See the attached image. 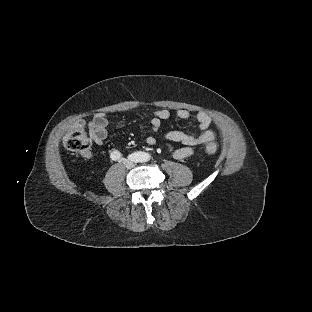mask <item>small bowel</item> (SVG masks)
Here are the masks:
<instances>
[{
	"mask_svg": "<svg viewBox=\"0 0 312 312\" xmlns=\"http://www.w3.org/2000/svg\"><path fill=\"white\" fill-rule=\"evenodd\" d=\"M171 116V111L167 108L156 109L152 112L149 127L150 134L146 137V143L150 146L156 144V134L154 132L155 125L160 121H165ZM176 116L182 120L190 118L191 113L189 110L179 108L176 110ZM196 119L199 126L198 134H191L180 130H171L170 134L164 138L165 147L169 154L174 159H185L193 154V147L208 144L214 141L216 135L210 129L212 124V117L204 112L199 111L196 114ZM109 121L105 113H97L90 120L87 121L88 132L90 138L95 144H102L108 135ZM175 143H180L183 147H174ZM84 158H91L90 151L82 154Z\"/></svg>",
	"mask_w": 312,
	"mask_h": 312,
	"instance_id": "1",
	"label": "small bowel"
}]
</instances>
